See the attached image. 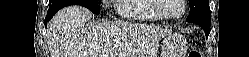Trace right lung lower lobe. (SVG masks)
Masks as SVG:
<instances>
[{"mask_svg": "<svg viewBox=\"0 0 249 57\" xmlns=\"http://www.w3.org/2000/svg\"><path fill=\"white\" fill-rule=\"evenodd\" d=\"M61 8H54V7H49V10L47 12V16H46V19H45V24L51 20V18L55 15V13L60 10Z\"/></svg>", "mask_w": 249, "mask_h": 57, "instance_id": "obj_1", "label": "right lung lower lobe"}]
</instances>
